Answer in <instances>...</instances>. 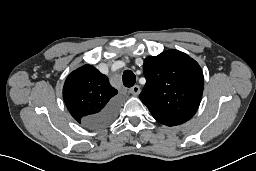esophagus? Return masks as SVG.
Wrapping results in <instances>:
<instances>
[{
	"mask_svg": "<svg viewBox=\"0 0 256 171\" xmlns=\"http://www.w3.org/2000/svg\"><path fill=\"white\" fill-rule=\"evenodd\" d=\"M130 93L134 96L139 95L140 87L138 85H134L132 88H130Z\"/></svg>",
	"mask_w": 256,
	"mask_h": 171,
	"instance_id": "34e87169",
	"label": "esophagus"
}]
</instances>
